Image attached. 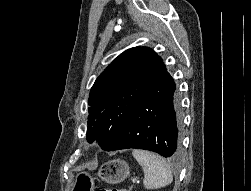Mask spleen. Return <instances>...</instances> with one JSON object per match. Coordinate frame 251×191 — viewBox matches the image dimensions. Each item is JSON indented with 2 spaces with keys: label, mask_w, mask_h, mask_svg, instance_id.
<instances>
[{
  "label": "spleen",
  "mask_w": 251,
  "mask_h": 191,
  "mask_svg": "<svg viewBox=\"0 0 251 191\" xmlns=\"http://www.w3.org/2000/svg\"><path fill=\"white\" fill-rule=\"evenodd\" d=\"M132 153L138 163L142 165L145 173L143 183L146 189H157V187H165L171 183L173 179L171 167L161 155H157L153 151H146V149H133Z\"/></svg>",
  "instance_id": "obj_1"
}]
</instances>
